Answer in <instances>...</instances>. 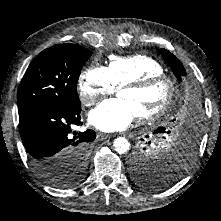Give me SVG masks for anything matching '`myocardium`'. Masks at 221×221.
I'll return each instance as SVG.
<instances>
[{
  "mask_svg": "<svg viewBox=\"0 0 221 221\" xmlns=\"http://www.w3.org/2000/svg\"><path fill=\"white\" fill-rule=\"evenodd\" d=\"M159 82H166L168 84L169 86L168 99L165 102V104L154 113L137 117L136 118L137 122L141 124H148V123L156 122L160 120L161 118H163L170 111V109L175 103L177 93H178L177 81L170 75L163 73V74L145 76L136 81L128 82L119 88V91L121 90L141 91Z\"/></svg>",
  "mask_w": 221,
  "mask_h": 221,
  "instance_id": "myocardium-1",
  "label": "myocardium"
}]
</instances>
